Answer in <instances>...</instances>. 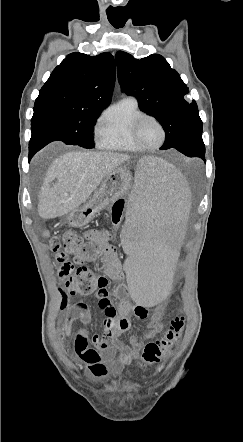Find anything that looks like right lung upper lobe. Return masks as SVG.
<instances>
[{"label":"right lung upper lobe","mask_w":243,"mask_h":442,"mask_svg":"<svg viewBox=\"0 0 243 442\" xmlns=\"http://www.w3.org/2000/svg\"><path fill=\"white\" fill-rule=\"evenodd\" d=\"M115 74L110 53L91 57L74 52L54 69L37 99L54 98L75 108L102 111L111 101Z\"/></svg>","instance_id":"1"}]
</instances>
